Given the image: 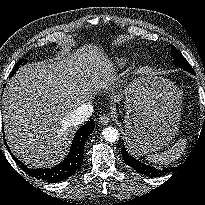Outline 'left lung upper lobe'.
<instances>
[{"label": "left lung upper lobe", "mask_w": 205, "mask_h": 205, "mask_svg": "<svg viewBox=\"0 0 205 205\" xmlns=\"http://www.w3.org/2000/svg\"><path fill=\"white\" fill-rule=\"evenodd\" d=\"M171 53L172 57L174 58V64L184 70L194 73L193 69L191 68L190 64L187 60L177 51V49L172 45L171 46Z\"/></svg>", "instance_id": "1"}]
</instances>
